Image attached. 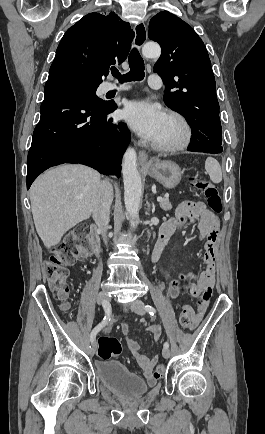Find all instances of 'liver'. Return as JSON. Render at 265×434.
<instances>
[{
    "label": "liver",
    "instance_id": "liver-1",
    "mask_svg": "<svg viewBox=\"0 0 265 434\" xmlns=\"http://www.w3.org/2000/svg\"><path fill=\"white\" fill-rule=\"evenodd\" d=\"M101 176L86 166H59L33 182L30 202L38 236L46 248L93 212ZM82 198V200H76Z\"/></svg>",
    "mask_w": 265,
    "mask_h": 434
}]
</instances>
